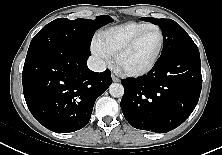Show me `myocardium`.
I'll return each mask as SVG.
<instances>
[{
    "instance_id": "myocardium-1",
    "label": "myocardium",
    "mask_w": 222,
    "mask_h": 155,
    "mask_svg": "<svg viewBox=\"0 0 222 155\" xmlns=\"http://www.w3.org/2000/svg\"><path fill=\"white\" fill-rule=\"evenodd\" d=\"M157 30L160 34V45L158 48V51L154 57V59L151 61V63L146 66L143 69L140 70H126L123 69L120 65V61L121 58L128 52L130 51L135 45L136 43L150 30ZM164 44H165V36L164 33L162 31V29L157 26V25H152L142 31H140L139 33H137L134 37H132L128 42H126L116 53H115V63L117 65V67L127 76L130 77H141L144 75H147L148 73H150L155 66L157 65L158 61L161 58L163 49H164Z\"/></svg>"
}]
</instances>
